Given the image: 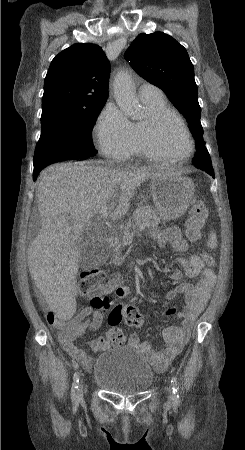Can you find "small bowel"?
Returning a JSON list of instances; mask_svg holds the SVG:
<instances>
[{
	"label": "small bowel",
	"mask_w": 245,
	"mask_h": 450,
	"mask_svg": "<svg viewBox=\"0 0 245 450\" xmlns=\"http://www.w3.org/2000/svg\"><path fill=\"white\" fill-rule=\"evenodd\" d=\"M151 238L156 242L158 247L165 248L171 245L179 254L185 252L187 249V243L183 239L180 230L176 227H171L164 231L156 230L152 233ZM178 260L188 276L194 277L199 274L201 275L195 284L184 282L167 293V297L170 299L179 294L185 297L186 306L183 311L177 314V319L182 322L181 327H167L163 330L162 336L165 342V349L160 351L154 350L150 341L140 340L137 333L130 334L127 340V345L137 349L147 358L155 370L159 372L164 371L169 366L170 362L180 354L184 345L189 340L195 320L203 312L216 280L214 270L204 261L203 255L193 254L188 258L179 257ZM181 276L182 274L178 270H174L169 274V277L174 280L180 279ZM114 279H116V282L111 292L113 297L108 299L109 305L113 302L123 301L133 295L132 290L128 286L121 284L119 277H115ZM83 292L90 299L95 297L93 292ZM104 319V310L89 307L77 314L72 319V322L79 323L82 332H85L98 329ZM59 339L64 349L73 359L79 361L87 369L92 366L93 358L78 348L74 343V339L65 340L62 335L59 336ZM112 345L114 343L109 339L108 332L105 336L98 337L91 342L92 350L96 353L105 352Z\"/></svg>",
	"instance_id": "obj_1"
}]
</instances>
